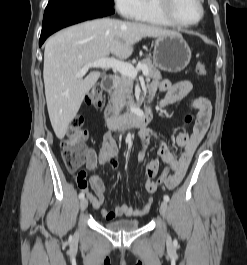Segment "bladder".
<instances>
[{
	"label": "bladder",
	"instance_id": "1",
	"mask_svg": "<svg viewBox=\"0 0 247 265\" xmlns=\"http://www.w3.org/2000/svg\"><path fill=\"white\" fill-rule=\"evenodd\" d=\"M140 221L136 219H121L108 221L104 227L113 232H129L140 227Z\"/></svg>",
	"mask_w": 247,
	"mask_h": 265
}]
</instances>
